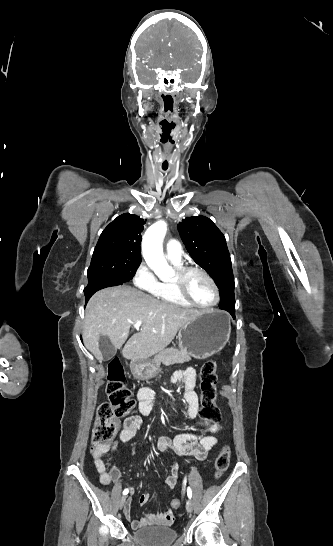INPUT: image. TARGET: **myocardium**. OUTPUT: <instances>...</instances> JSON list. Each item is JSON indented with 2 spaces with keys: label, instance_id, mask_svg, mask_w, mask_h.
Instances as JSON below:
<instances>
[{
  "label": "myocardium",
  "instance_id": "obj_1",
  "mask_svg": "<svg viewBox=\"0 0 333 546\" xmlns=\"http://www.w3.org/2000/svg\"><path fill=\"white\" fill-rule=\"evenodd\" d=\"M191 272H198V273L202 274L209 281V283L212 285V287L214 289V292H215L214 302H212L211 304L204 305V304L197 303L195 300L192 299V297L188 293L187 286H186L187 276ZM173 283H174L176 292L179 295V297L181 299H183L185 302H187L188 304H190L191 306L201 308V309H210V308H214L215 306H217L219 301H220V290L218 288L217 283L215 282L213 277L206 270H204L201 267H198V266H183V267L178 268L177 271H176Z\"/></svg>",
  "mask_w": 333,
  "mask_h": 546
}]
</instances>
